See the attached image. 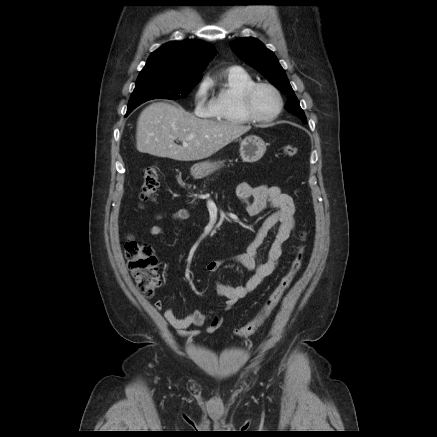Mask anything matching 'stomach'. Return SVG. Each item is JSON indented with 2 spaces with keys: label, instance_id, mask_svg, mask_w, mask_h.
Returning <instances> with one entry per match:
<instances>
[{
  "label": "stomach",
  "instance_id": "1",
  "mask_svg": "<svg viewBox=\"0 0 437 437\" xmlns=\"http://www.w3.org/2000/svg\"><path fill=\"white\" fill-rule=\"evenodd\" d=\"M266 152L265 142L258 136H247L240 143V156L244 162L253 163L260 160ZM223 166V161H204L192 166L191 174L199 179L204 178Z\"/></svg>",
  "mask_w": 437,
  "mask_h": 437
}]
</instances>
